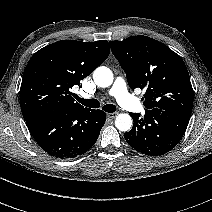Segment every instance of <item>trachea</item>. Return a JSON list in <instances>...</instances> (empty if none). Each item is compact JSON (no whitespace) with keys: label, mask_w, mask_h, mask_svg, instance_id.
<instances>
[{"label":"trachea","mask_w":212,"mask_h":212,"mask_svg":"<svg viewBox=\"0 0 212 212\" xmlns=\"http://www.w3.org/2000/svg\"><path fill=\"white\" fill-rule=\"evenodd\" d=\"M75 98L78 102H80L81 104H83L86 107H89V108H99L100 107V103L96 99H83L77 95L75 96ZM102 109L108 113H113L116 111V106L113 104H106L102 107Z\"/></svg>","instance_id":"1"}]
</instances>
